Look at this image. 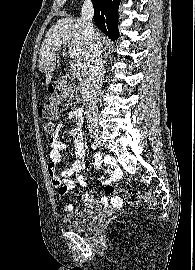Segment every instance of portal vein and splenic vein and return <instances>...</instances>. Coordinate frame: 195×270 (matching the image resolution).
<instances>
[{"instance_id": "18ae733b", "label": "portal vein and splenic vein", "mask_w": 195, "mask_h": 270, "mask_svg": "<svg viewBox=\"0 0 195 270\" xmlns=\"http://www.w3.org/2000/svg\"><path fill=\"white\" fill-rule=\"evenodd\" d=\"M63 43L64 44H70V41H69V39H64ZM70 55L72 57H79L81 55V51L79 49H74L73 48V49L70 50Z\"/></svg>"}]
</instances>
